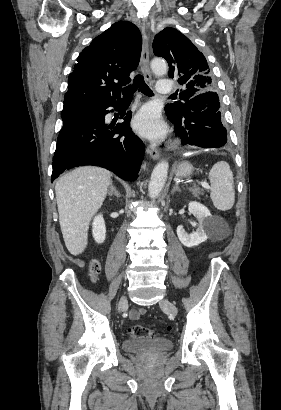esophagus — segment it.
<instances>
[{"mask_svg":"<svg viewBox=\"0 0 281 410\" xmlns=\"http://www.w3.org/2000/svg\"><path fill=\"white\" fill-rule=\"evenodd\" d=\"M141 33H142V52H141V70L144 75V78L146 81L151 80V72L149 68V38L146 32V27L143 24L141 27ZM147 152L151 156V158L157 160L160 158V151L155 148V147H149L147 149Z\"/></svg>","mask_w":281,"mask_h":410,"instance_id":"obj_1","label":"esophagus"}]
</instances>
